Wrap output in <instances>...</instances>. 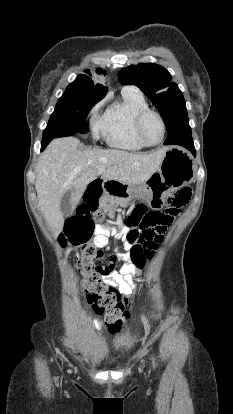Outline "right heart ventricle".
Wrapping results in <instances>:
<instances>
[{
    "instance_id": "right-heart-ventricle-1",
    "label": "right heart ventricle",
    "mask_w": 233,
    "mask_h": 414,
    "mask_svg": "<svg viewBox=\"0 0 233 414\" xmlns=\"http://www.w3.org/2000/svg\"><path fill=\"white\" fill-rule=\"evenodd\" d=\"M149 105L144 96L133 88H124L121 100L110 105L96 124V131L109 146L138 151L149 145L141 140L136 130L137 116Z\"/></svg>"
}]
</instances>
